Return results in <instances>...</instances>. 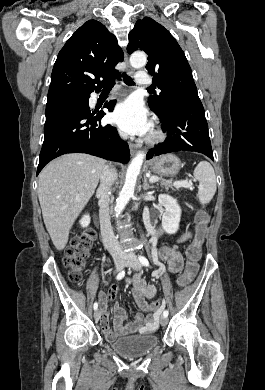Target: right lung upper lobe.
Returning a JSON list of instances; mask_svg holds the SVG:
<instances>
[{
  "label": "right lung upper lobe",
  "instance_id": "right-lung-upper-lobe-1",
  "mask_svg": "<svg viewBox=\"0 0 265 390\" xmlns=\"http://www.w3.org/2000/svg\"><path fill=\"white\" fill-rule=\"evenodd\" d=\"M123 59L116 37L104 25L95 20L85 22L57 56L47 101L100 89L106 79L118 77L114 67Z\"/></svg>",
  "mask_w": 265,
  "mask_h": 390
}]
</instances>
